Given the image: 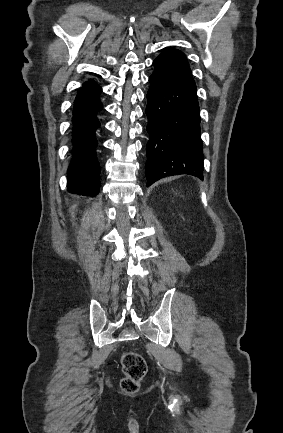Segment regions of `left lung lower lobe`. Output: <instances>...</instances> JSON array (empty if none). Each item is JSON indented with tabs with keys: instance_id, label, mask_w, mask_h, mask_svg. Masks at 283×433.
I'll return each instance as SVG.
<instances>
[{
	"instance_id": "1",
	"label": "left lung lower lobe",
	"mask_w": 283,
	"mask_h": 433,
	"mask_svg": "<svg viewBox=\"0 0 283 433\" xmlns=\"http://www.w3.org/2000/svg\"><path fill=\"white\" fill-rule=\"evenodd\" d=\"M147 93V186L188 174L203 179L196 86L186 56L165 48L154 60Z\"/></svg>"
}]
</instances>
